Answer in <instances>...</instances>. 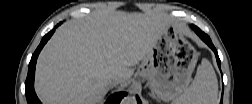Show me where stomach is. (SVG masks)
Returning <instances> with one entry per match:
<instances>
[{"mask_svg": "<svg viewBox=\"0 0 252 104\" xmlns=\"http://www.w3.org/2000/svg\"><path fill=\"white\" fill-rule=\"evenodd\" d=\"M197 59L195 48L175 25L169 23L144 57L138 74L150 81L158 98L174 101L187 89Z\"/></svg>", "mask_w": 252, "mask_h": 104, "instance_id": "stomach-1", "label": "stomach"}]
</instances>
